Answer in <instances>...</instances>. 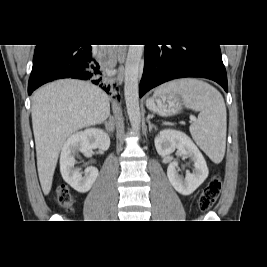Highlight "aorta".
Listing matches in <instances>:
<instances>
[{
    "mask_svg": "<svg viewBox=\"0 0 267 267\" xmlns=\"http://www.w3.org/2000/svg\"><path fill=\"white\" fill-rule=\"evenodd\" d=\"M143 51L144 45H129L125 62L124 96L131 127L135 132L140 130L141 124L138 80Z\"/></svg>",
    "mask_w": 267,
    "mask_h": 267,
    "instance_id": "aorta-1",
    "label": "aorta"
}]
</instances>
